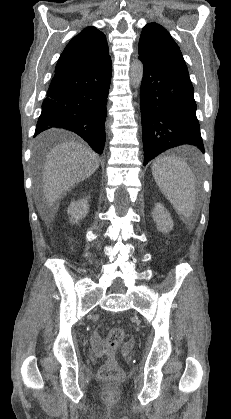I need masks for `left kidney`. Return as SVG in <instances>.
I'll return each instance as SVG.
<instances>
[{
    "instance_id": "5707ae66",
    "label": "left kidney",
    "mask_w": 231,
    "mask_h": 419,
    "mask_svg": "<svg viewBox=\"0 0 231 419\" xmlns=\"http://www.w3.org/2000/svg\"><path fill=\"white\" fill-rule=\"evenodd\" d=\"M152 217L156 223V227L162 233H168L173 228V220L169 212H167L164 206L160 203H156Z\"/></svg>"
}]
</instances>
